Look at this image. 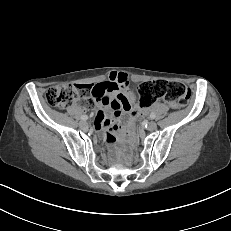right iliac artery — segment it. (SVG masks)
Returning <instances> with one entry per match:
<instances>
[{
	"mask_svg": "<svg viewBox=\"0 0 231 231\" xmlns=\"http://www.w3.org/2000/svg\"><path fill=\"white\" fill-rule=\"evenodd\" d=\"M87 119H88V116H87V115L81 116V120L86 121Z\"/></svg>",
	"mask_w": 231,
	"mask_h": 231,
	"instance_id": "82829eb1",
	"label": "right iliac artery"
}]
</instances>
